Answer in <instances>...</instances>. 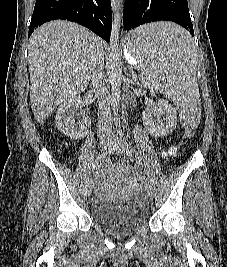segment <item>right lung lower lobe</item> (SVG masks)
<instances>
[{
  "label": "right lung lower lobe",
  "mask_w": 227,
  "mask_h": 267,
  "mask_svg": "<svg viewBox=\"0 0 227 267\" xmlns=\"http://www.w3.org/2000/svg\"><path fill=\"white\" fill-rule=\"evenodd\" d=\"M62 19L77 22L110 41L112 11L110 0H36L29 36L45 22Z\"/></svg>",
  "instance_id": "right-lung-lower-lobe-1"
}]
</instances>
